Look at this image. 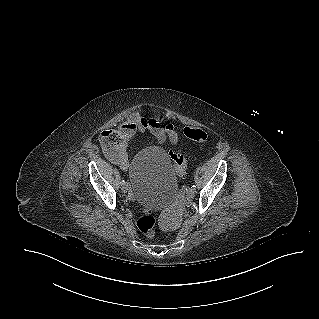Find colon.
<instances>
[{"instance_id":"colon-1","label":"colon","mask_w":319,"mask_h":319,"mask_svg":"<svg viewBox=\"0 0 319 319\" xmlns=\"http://www.w3.org/2000/svg\"><path fill=\"white\" fill-rule=\"evenodd\" d=\"M179 131L185 137L194 140L199 143H206L210 140V133L202 128L195 127L192 122L185 121L180 124ZM170 158L173 162L176 175L179 178H183L187 172L188 164L185 157L178 152H171ZM157 220L150 213L145 211L137 220V227L141 233L146 236H154Z\"/></svg>"}]
</instances>
